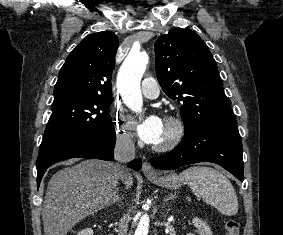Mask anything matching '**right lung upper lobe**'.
Returning a JSON list of instances; mask_svg holds the SVG:
<instances>
[{
    "instance_id": "obj_1",
    "label": "right lung upper lobe",
    "mask_w": 283,
    "mask_h": 235,
    "mask_svg": "<svg viewBox=\"0 0 283 235\" xmlns=\"http://www.w3.org/2000/svg\"><path fill=\"white\" fill-rule=\"evenodd\" d=\"M117 47L118 38L110 31L84 38L60 70L53 103L72 97H111Z\"/></svg>"
}]
</instances>
